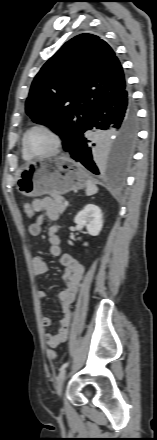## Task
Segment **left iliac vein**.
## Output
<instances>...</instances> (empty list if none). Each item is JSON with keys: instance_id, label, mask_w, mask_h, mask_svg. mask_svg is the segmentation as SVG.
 Masks as SVG:
<instances>
[{"instance_id": "4c4485c4", "label": "left iliac vein", "mask_w": 157, "mask_h": 440, "mask_svg": "<svg viewBox=\"0 0 157 440\" xmlns=\"http://www.w3.org/2000/svg\"><path fill=\"white\" fill-rule=\"evenodd\" d=\"M65 375H66V370L63 369V370H61L59 372V374L57 376V379H56V389H57L58 396H61Z\"/></svg>"}]
</instances>
